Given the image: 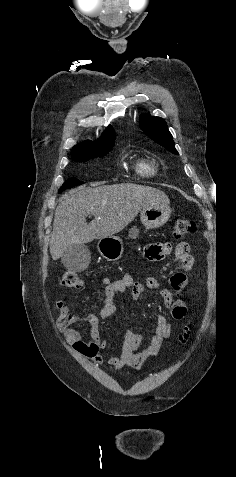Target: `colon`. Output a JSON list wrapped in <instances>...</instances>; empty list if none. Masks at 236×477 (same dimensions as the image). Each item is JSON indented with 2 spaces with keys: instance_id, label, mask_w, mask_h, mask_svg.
<instances>
[{
  "instance_id": "obj_1",
  "label": "colon",
  "mask_w": 236,
  "mask_h": 477,
  "mask_svg": "<svg viewBox=\"0 0 236 477\" xmlns=\"http://www.w3.org/2000/svg\"><path fill=\"white\" fill-rule=\"evenodd\" d=\"M196 232V225L195 222L181 217L174 222L173 226V236L175 238H181ZM176 253L178 254H186L188 253V249L186 248H177ZM60 283L63 287L70 288V289H79L82 288L85 284L84 278L73 271H66L60 280Z\"/></svg>"
}]
</instances>
